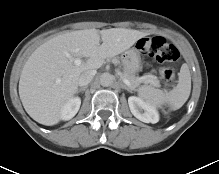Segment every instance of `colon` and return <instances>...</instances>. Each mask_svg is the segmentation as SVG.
<instances>
[{
	"mask_svg": "<svg viewBox=\"0 0 219 174\" xmlns=\"http://www.w3.org/2000/svg\"><path fill=\"white\" fill-rule=\"evenodd\" d=\"M138 48L162 65L159 73L165 88L170 90L175 84V71L179 59L177 48L159 36L141 39L138 42ZM166 113L170 114L171 109L167 108Z\"/></svg>",
	"mask_w": 219,
	"mask_h": 174,
	"instance_id": "colon-1",
	"label": "colon"
}]
</instances>
